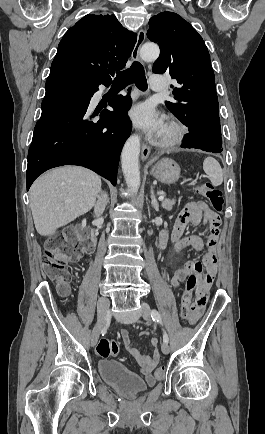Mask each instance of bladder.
Returning <instances> with one entry per match:
<instances>
[{"mask_svg":"<svg viewBox=\"0 0 265 434\" xmlns=\"http://www.w3.org/2000/svg\"><path fill=\"white\" fill-rule=\"evenodd\" d=\"M97 369L107 385L126 397H134L147 389V384L138 375L116 360H100Z\"/></svg>","mask_w":265,"mask_h":434,"instance_id":"bladder-1","label":"bladder"}]
</instances>
